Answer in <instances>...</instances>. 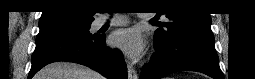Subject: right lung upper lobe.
I'll use <instances>...</instances> for the list:
<instances>
[{
	"mask_svg": "<svg viewBox=\"0 0 255 79\" xmlns=\"http://www.w3.org/2000/svg\"><path fill=\"white\" fill-rule=\"evenodd\" d=\"M92 4L88 0H48L40 19L72 15L84 21H93Z\"/></svg>",
	"mask_w": 255,
	"mask_h": 79,
	"instance_id": "obj_1",
	"label": "right lung upper lobe"
}]
</instances>
